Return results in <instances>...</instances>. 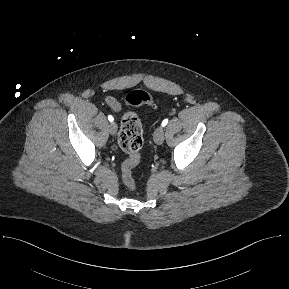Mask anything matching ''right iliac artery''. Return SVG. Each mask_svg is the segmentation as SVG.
<instances>
[{
	"mask_svg": "<svg viewBox=\"0 0 289 289\" xmlns=\"http://www.w3.org/2000/svg\"><path fill=\"white\" fill-rule=\"evenodd\" d=\"M108 120L110 121V122H113V117L112 116H108Z\"/></svg>",
	"mask_w": 289,
	"mask_h": 289,
	"instance_id": "82829eb1",
	"label": "right iliac artery"
}]
</instances>
